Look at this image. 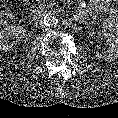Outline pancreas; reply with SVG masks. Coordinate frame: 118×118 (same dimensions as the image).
I'll list each match as a JSON object with an SVG mask.
<instances>
[{
  "label": "pancreas",
  "mask_w": 118,
  "mask_h": 118,
  "mask_svg": "<svg viewBox=\"0 0 118 118\" xmlns=\"http://www.w3.org/2000/svg\"><path fill=\"white\" fill-rule=\"evenodd\" d=\"M47 9H53V5H45Z\"/></svg>",
  "instance_id": "pancreas-1"
}]
</instances>
